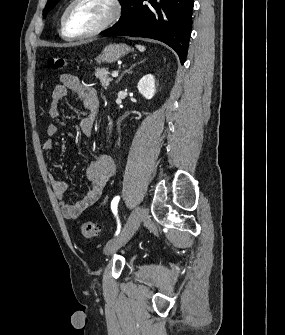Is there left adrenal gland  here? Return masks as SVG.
Returning a JSON list of instances; mask_svg holds the SVG:
<instances>
[{"instance_id": "obj_1", "label": "left adrenal gland", "mask_w": 285, "mask_h": 335, "mask_svg": "<svg viewBox=\"0 0 285 335\" xmlns=\"http://www.w3.org/2000/svg\"><path fill=\"white\" fill-rule=\"evenodd\" d=\"M142 62H144V60H142ZM139 64H141V62H139ZM134 66H136V64H133V66H131V68H129V70H125V72H122L120 78H118L117 82H120L121 78H123L124 74H129L130 70H132V68H134Z\"/></svg>"}]
</instances>
